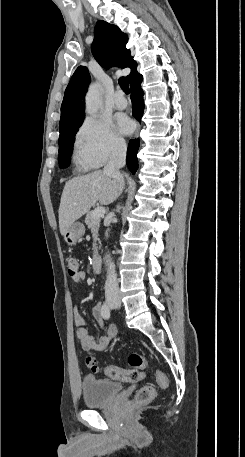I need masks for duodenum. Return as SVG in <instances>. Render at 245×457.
<instances>
[{
  "instance_id": "1",
  "label": "duodenum",
  "mask_w": 245,
  "mask_h": 457,
  "mask_svg": "<svg viewBox=\"0 0 245 457\" xmlns=\"http://www.w3.org/2000/svg\"><path fill=\"white\" fill-rule=\"evenodd\" d=\"M102 267V257L100 255H95L92 258V268L95 272H99Z\"/></svg>"
}]
</instances>
